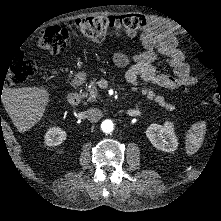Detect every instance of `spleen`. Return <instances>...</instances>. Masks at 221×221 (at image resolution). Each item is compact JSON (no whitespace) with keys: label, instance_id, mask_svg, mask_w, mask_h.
<instances>
[{"label":"spleen","instance_id":"3e777b00","mask_svg":"<svg viewBox=\"0 0 221 221\" xmlns=\"http://www.w3.org/2000/svg\"><path fill=\"white\" fill-rule=\"evenodd\" d=\"M205 133V121L197 122L191 126V128L186 133L185 139V149L187 155H193L200 149L204 141Z\"/></svg>","mask_w":221,"mask_h":221}]
</instances>
